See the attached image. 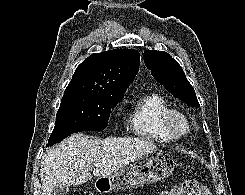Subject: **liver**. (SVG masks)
Masks as SVG:
<instances>
[{
    "instance_id": "1",
    "label": "liver",
    "mask_w": 245,
    "mask_h": 195,
    "mask_svg": "<svg viewBox=\"0 0 245 195\" xmlns=\"http://www.w3.org/2000/svg\"><path fill=\"white\" fill-rule=\"evenodd\" d=\"M157 151L156 145L140 138L108 137L92 139L74 134L51 149L40 170L42 195H51L59 184L81 185L93 175L108 177L142 155Z\"/></svg>"
}]
</instances>
